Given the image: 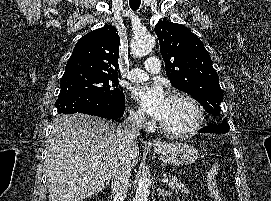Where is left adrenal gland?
Returning a JSON list of instances; mask_svg holds the SVG:
<instances>
[{
    "label": "left adrenal gland",
    "mask_w": 271,
    "mask_h": 201,
    "mask_svg": "<svg viewBox=\"0 0 271 201\" xmlns=\"http://www.w3.org/2000/svg\"><path fill=\"white\" fill-rule=\"evenodd\" d=\"M157 191H158L159 196H162V197H166V196H170V195H171V193L168 192V191L165 190V189L160 190V189L158 188Z\"/></svg>",
    "instance_id": "obj_1"
}]
</instances>
